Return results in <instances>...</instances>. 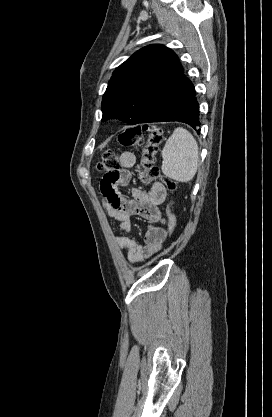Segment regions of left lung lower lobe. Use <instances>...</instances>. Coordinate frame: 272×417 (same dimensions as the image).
Listing matches in <instances>:
<instances>
[{"instance_id": "1", "label": "left lung lower lobe", "mask_w": 272, "mask_h": 417, "mask_svg": "<svg viewBox=\"0 0 272 417\" xmlns=\"http://www.w3.org/2000/svg\"><path fill=\"white\" fill-rule=\"evenodd\" d=\"M192 82L184 73L141 123L179 121L200 132L199 105Z\"/></svg>"}]
</instances>
